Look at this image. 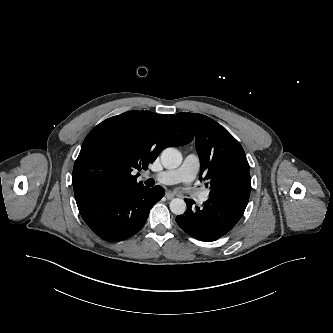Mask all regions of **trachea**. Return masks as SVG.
<instances>
[{
	"instance_id": "obj_1",
	"label": "trachea",
	"mask_w": 333,
	"mask_h": 333,
	"mask_svg": "<svg viewBox=\"0 0 333 333\" xmlns=\"http://www.w3.org/2000/svg\"><path fill=\"white\" fill-rule=\"evenodd\" d=\"M146 184L148 186H153L154 185V180L153 179H149V180L146 181Z\"/></svg>"
}]
</instances>
